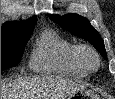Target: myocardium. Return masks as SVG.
Instances as JSON below:
<instances>
[{"mask_svg": "<svg viewBox=\"0 0 115 99\" xmlns=\"http://www.w3.org/2000/svg\"><path fill=\"white\" fill-rule=\"evenodd\" d=\"M76 57L79 64L87 71L93 72L100 67V56L98 52L91 46L82 44L77 45Z\"/></svg>", "mask_w": 115, "mask_h": 99, "instance_id": "1", "label": "myocardium"}]
</instances>
